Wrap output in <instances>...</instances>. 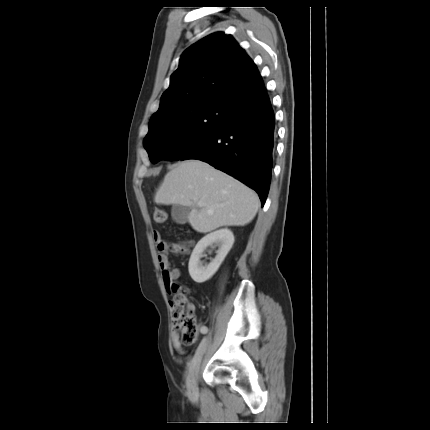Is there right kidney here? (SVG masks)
Segmentation results:
<instances>
[{"instance_id": "ca27d5eb", "label": "right kidney", "mask_w": 430, "mask_h": 430, "mask_svg": "<svg viewBox=\"0 0 430 430\" xmlns=\"http://www.w3.org/2000/svg\"><path fill=\"white\" fill-rule=\"evenodd\" d=\"M233 243L234 235L227 228L217 230L201 238L191 254L188 265L189 274L194 282L200 284L209 280L219 269ZM212 244L219 247L217 255L208 265H203L200 261L202 254Z\"/></svg>"}]
</instances>
